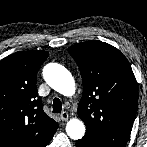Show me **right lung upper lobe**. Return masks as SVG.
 Wrapping results in <instances>:
<instances>
[{
	"label": "right lung upper lobe",
	"mask_w": 147,
	"mask_h": 147,
	"mask_svg": "<svg viewBox=\"0 0 147 147\" xmlns=\"http://www.w3.org/2000/svg\"><path fill=\"white\" fill-rule=\"evenodd\" d=\"M47 51H20L0 61V147H43L57 122L43 111L37 72Z\"/></svg>",
	"instance_id": "right-lung-upper-lobe-1"
}]
</instances>
